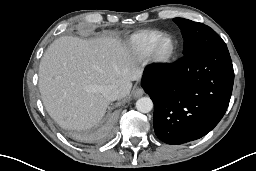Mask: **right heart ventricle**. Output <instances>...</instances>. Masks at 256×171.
<instances>
[{"label":"right heart ventricle","instance_id":"obj_1","mask_svg":"<svg viewBox=\"0 0 256 171\" xmlns=\"http://www.w3.org/2000/svg\"><path fill=\"white\" fill-rule=\"evenodd\" d=\"M163 35L156 29H146L133 34L129 39V46L134 55L145 58L150 55L154 43Z\"/></svg>","mask_w":256,"mask_h":171}]
</instances>
